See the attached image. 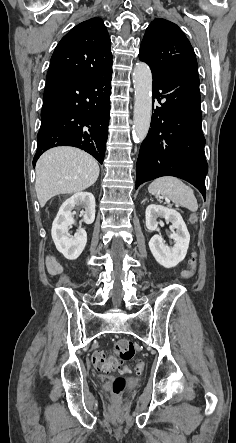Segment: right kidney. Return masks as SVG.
<instances>
[{
	"label": "right kidney",
	"instance_id": "obj_1",
	"mask_svg": "<svg viewBox=\"0 0 236 443\" xmlns=\"http://www.w3.org/2000/svg\"><path fill=\"white\" fill-rule=\"evenodd\" d=\"M76 206L84 208L81 222L91 224L95 220V198L89 192H78L68 198L60 207L52 224V239L57 250L67 259H77L84 250L87 243V233L80 227L73 237L68 234L69 228L75 224L72 210Z\"/></svg>",
	"mask_w": 236,
	"mask_h": 443
}]
</instances>
